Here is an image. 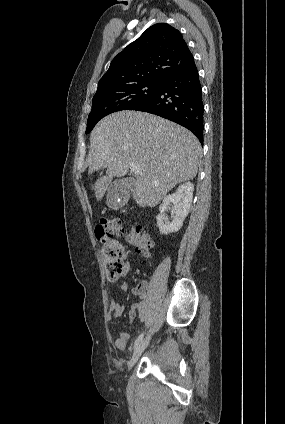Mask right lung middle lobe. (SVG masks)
Here are the masks:
<instances>
[{
  "label": "right lung middle lobe",
  "mask_w": 285,
  "mask_h": 424,
  "mask_svg": "<svg viewBox=\"0 0 285 424\" xmlns=\"http://www.w3.org/2000/svg\"><path fill=\"white\" fill-rule=\"evenodd\" d=\"M162 81H139L104 88L96 91L92 110L88 116L86 134L97 122L113 112L130 110L136 104L153 96L161 87Z\"/></svg>",
  "instance_id": "dd1d6c3e"
}]
</instances>
